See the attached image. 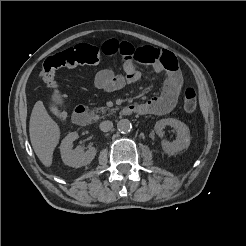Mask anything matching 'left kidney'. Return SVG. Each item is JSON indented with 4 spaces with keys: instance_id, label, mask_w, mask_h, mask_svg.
I'll return each instance as SVG.
<instances>
[{
    "instance_id": "left-kidney-1",
    "label": "left kidney",
    "mask_w": 246,
    "mask_h": 246,
    "mask_svg": "<svg viewBox=\"0 0 246 246\" xmlns=\"http://www.w3.org/2000/svg\"><path fill=\"white\" fill-rule=\"evenodd\" d=\"M166 126L173 127L177 133V136L176 140H174L173 142H169L166 140L162 141L161 144L164 152L167 154H174L187 149L191 141L190 131L187 125L173 118L161 119L155 124V132L158 134V136H163V130Z\"/></svg>"
}]
</instances>
